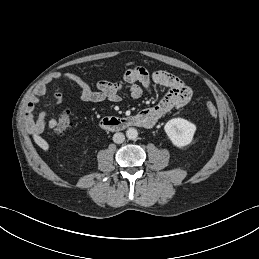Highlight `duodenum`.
I'll use <instances>...</instances> for the list:
<instances>
[{"label":"duodenum","mask_w":259,"mask_h":259,"mask_svg":"<svg viewBox=\"0 0 259 259\" xmlns=\"http://www.w3.org/2000/svg\"><path fill=\"white\" fill-rule=\"evenodd\" d=\"M100 126L108 131H120L129 127H149V121L136 114L129 117H105L101 120Z\"/></svg>","instance_id":"1"}]
</instances>
